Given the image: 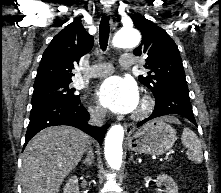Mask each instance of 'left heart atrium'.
I'll return each mask as SVG.
<instances>
[{
	"label": "left heart atrium",
	"instance_id": "39dd6f15",
	"mask_svg": "<svg viewBox=\"0 0 221 193\" xmlns=\"http://www.w3.org/2000/svg\"><path fill=\"white\" fill-rule=\"evenodd\" d=\"M99 103L118 114L133 112L139 103V93L134 81L113 76L105 80L97 89Z\"/></svg>",
	"mask_w": 221,
	"mask_h": 193
}]
</instances>
